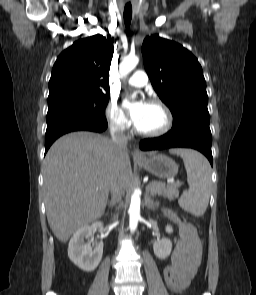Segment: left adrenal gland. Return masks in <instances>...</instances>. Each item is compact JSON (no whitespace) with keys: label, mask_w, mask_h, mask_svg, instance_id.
Returning a JSON list of instances; mask_svg holds the SVG:
<instances>
[{"label":"left adrenal gland","mask_w":256,"mask_h":295,"mask_svg":"<svg viewBox=\"0 0 256 295\" xmlns=\"http://www.w3.org/2000/svg\"><path fill=\"white\" fill-rule=\"evenodd\" d=\"M145 206L151 210H155V208H157L158 206V202L150 198V196L148 195V191H146L145 195Z\"/></svg>","instance_id":"a2214340"}]
</instances>
